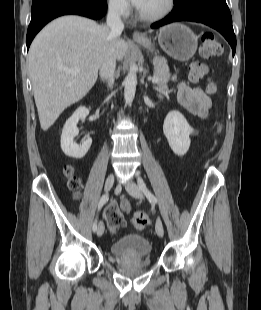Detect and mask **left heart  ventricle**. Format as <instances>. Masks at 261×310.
I'll return each mask as SVG.
<instances>
[{"label":"left heart ventricle","mask_w":261,"mask_h":310,"mask_svg":"<svg viewBox=\"0 0 261 310\" xmlns=\"http://www.w3.org/2000/svg\"><path fill=\"white\" fill-rule=\"evenodd\" d=\"M166 0H145L139 11L144 14H154L164 8Z\"/></svg>","instance_id":"b2bd125f"}]
</instances>
